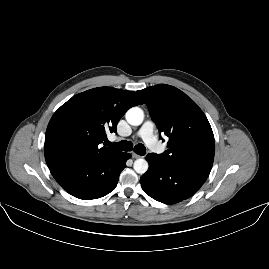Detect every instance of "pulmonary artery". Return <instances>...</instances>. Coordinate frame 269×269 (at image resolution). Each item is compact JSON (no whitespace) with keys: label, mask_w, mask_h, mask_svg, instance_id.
Segmentation results:
<instances>
[{"label":"pulmonary artery","mask_w":269,"mask_h":269,"mask_svg":"<svg viewBox=\"0 0 269 269\" xmlns=\"http://www.w3.org/2000/svg\"><path fill=\"white\" fill-rule=\"evenodd\" d=\"M139 138H141L147 147L151 148L153 145L157 143V134L155 125L150 120L146 121L141 128L138 130L136 134ZM156 153L158 155L163 156L166 153L165 148L163 146L158 145L155 148Z\"/></svg>","instance_id":"pulmonary-artery-1"}]
</instances>
